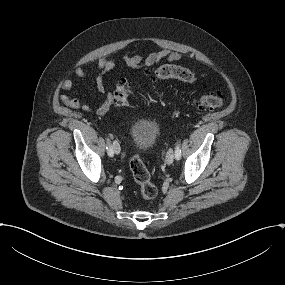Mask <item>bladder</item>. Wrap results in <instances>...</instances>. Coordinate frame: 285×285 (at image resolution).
Masks as SVG:
<instances>
[{
  "mask_svg": "<svg viewBox=\"0 0 285 285\" xmlns=\"http://www.w3.org/2000/svg\"><path fill=\"white\" fill-rule=\"evenodd\" d=\"M159 137L158 122L150 118H139L132 122L129 141L140 151H153Z\"/></svg>",
  "mask_w": 285,
  "mask_h": 285,
  "instance_id": "bladder-1",
  "label": "bladder"
}]
</instances>
